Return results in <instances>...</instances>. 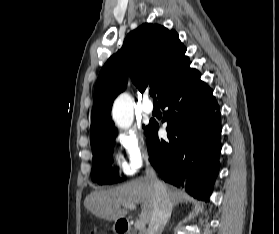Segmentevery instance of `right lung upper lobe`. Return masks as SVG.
Wrapping results in <instances>:
<instances>
[{"label": "right lung upper lobe", "mask_w": 279, "mask_h": 234, "mask_svg": "<svg viewBox=\"0 0 279 234\" xmlns=\"http://www.w3.org/2000/svg\"><path fill=\"white\" fill-rule=\"evenodd\" d=\"M186 47L175 30L144 23L131 31L116 54L103 66L94 89L91 114V145L116 129L111 121V107L125 90L128 76L143 92L154 86L159 98L188 70Z\"/></svg>", "instance_id": "1"}]
</instances>
